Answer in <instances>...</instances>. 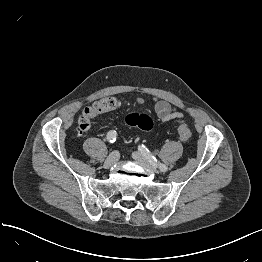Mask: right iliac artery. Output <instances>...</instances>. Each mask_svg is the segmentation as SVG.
Listing matches in <instances>:
<instances>
[{"label": "right iliac artery", "mask_w": 262, "mask_h": 262, "mask_svg": "<svg viewBox=\"0 0 262 262\" xmlns=\"http://www.w3.org/2000/svg\"><path fill=\"white\" fill-rule=\"evenodd\" d=\"M116 138H117V132L115 130L109 131L106 137L107 141L110 143H114L116 141Z\"/></svg>", "instance_id": "obj_1"}]
</instances>
